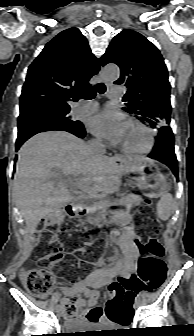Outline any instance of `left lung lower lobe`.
<instances>
[{
  "instance_id": "obj_1",
  "label": "left lung lower lobe",
  "mask_w": 194,
  "mask_h": 336,
  "mask_svg": "<svg viewBox=\"0 0 194 336\" xmlns=\"http://www.w3.org/2000/svg\"><path fill=\"white\" fill-rule=\"evenodd\" d=\"M159 133L157 142L149 157L156 159L170 167L176 178L178 179L177 159L174 152V138L169 125L158 128Z\"/></svg>"
}]
</instances>
